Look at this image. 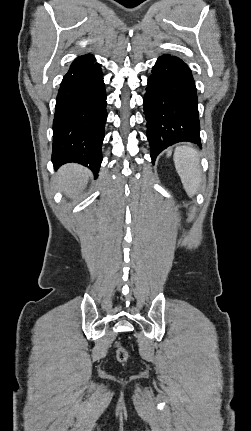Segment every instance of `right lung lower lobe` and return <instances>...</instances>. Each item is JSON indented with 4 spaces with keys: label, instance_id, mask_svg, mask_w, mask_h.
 <instances>
[{
    "label": "right lung lower lobe",
    "instance_id": "right-lung-lower-lobe-1",
    "mask_svg": "<svg viewBox=\"0 0 251 431\" xmlns=\"http://www.w3.org/2000/svg\"><path fill=\"white\" fill-rule=\"evenodd\" d=\"M106 119L101 67L93 56H80L71 64L57 95L53 120L54 168L76 162L90 168L97 178Z\"/></svg>",
    "mask_w": 251,
    "mask_h": 431
}]
</instances>
